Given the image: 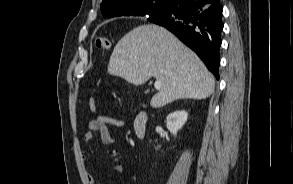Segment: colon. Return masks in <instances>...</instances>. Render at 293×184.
<instances>
[{
  "instance_id": "5ec220e1",
  "label": "colon",
  "mask_w": 293,
  "mask_h": 184,
  "mask_svg": "<svg viewBox=\"0 0 293 184\" xmlns=\"http://www.w3.org/2000/svg\"><path fill=\"white\" fill-rule=\"evenodd\" d=\"M96 47L101 50H107L111 47V41L106 37H97L95 40ZM89 109L91 112L96 110L95 99L93 97L89 100Z\"/></svg>"
}]
</instances>
